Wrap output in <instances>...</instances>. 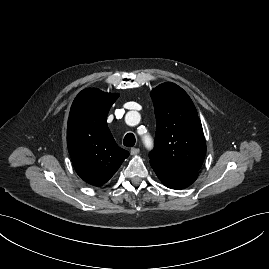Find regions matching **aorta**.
I'll return each mask as SVG.
<instances>
[{"instance_id":"obj_1","label":"aorta","mask_w":269,"mask_h":269,"mask_svg":"<svg viewBox=\"0 0 269 269\" xmlns=\"http://www.w3.org/2000/svg\"><path fill=\"white\" fill-rule=\"evenodd\" d=\"M136 116H138V113H134ZM143 143L147 149L153 148V140L150 136L146 135L143 137Z\"/></svg>"}]
</instances>
